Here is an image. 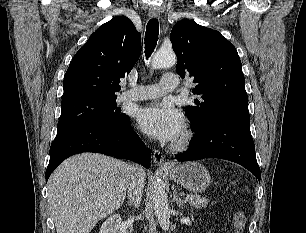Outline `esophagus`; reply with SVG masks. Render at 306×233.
Wrapping results in <instances>:
<instances>
[{
    "label": "esophagus",
    "mask_w": 306,
    "mask_h": 233,
    "mask_svg": "<svg viewBox=\"0 0 306 233\" xmlns=\"http://www.w3.org/2000/svg\"><path fill=\"white\" fill-rule=\"evenodd\" d=\"M149 16L151 18H158L160 16L159 9L157 7H151L149 9ZM153 160L154 163L161 168H167L170 166L167 162H165L164 155L159 150L153 151Z\"/></svg>",
    "instance_id": "esophagus-1"
}]
</instances>
